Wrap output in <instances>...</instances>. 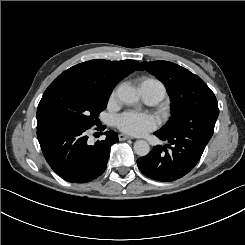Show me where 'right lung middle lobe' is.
I'll use <instances>...</instances> for the list:
<instances>
[{
  "label": "right lung middle lobe",
  "instance_id": "obj_1",
  "mask_svg": "<svg viewBox=\"0 0 245 245\" xmlns=\"http://www.w3.org/2000/svg\"><path fill=\"white\" fill-rule=\"evenodd\" d=\"M111 92L94 83L58 76L46 89L37 108V129L73 125L91 128L105 110Z\"/></svg>",
  "mask_w": 245,
  "mask_h": 245
}]
</instances>
